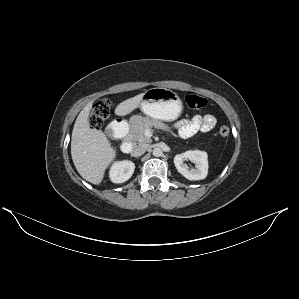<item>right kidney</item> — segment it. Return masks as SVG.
<instances>
[{"label": "right kidney", "instance_id": "ca27d5eb", "mask_svg": "<svg viewBox=\"0 0 299 299\" xmlns=\"http://www.w3.org/2000/svg\"><path fill=\"white\" fill-rule=\"evenodd\" d=\"M134 169L135 164L132 161H118L110 169V179L113 183H123L132 176Z\"/></svg>", "mask_w": 299, "mask_h": 299}]
</instances>
